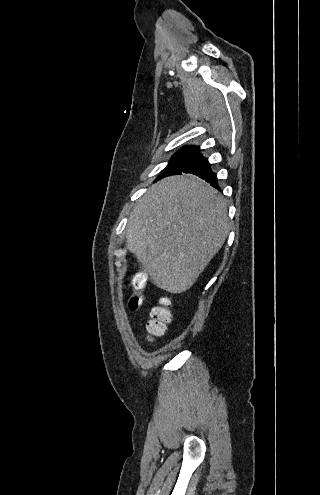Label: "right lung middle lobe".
<instances>
[{"label":"right lung middle lobe","mask_w":320,"mask_h":495,"mask_svg":"<svg viewBox=\"0 0 320 495\" xmlns=\"http://www.w3.org/2000/svg\"><path fill=\"white\" fill-rule=\"evenodd\" d=\"M198 149L199 146H187L180 149L173 155L168 165L164 168L158 178L173 175L181 170L190 158L198 152Z\"/></svg>","instance_id":"obj_1"}]
</instances>
